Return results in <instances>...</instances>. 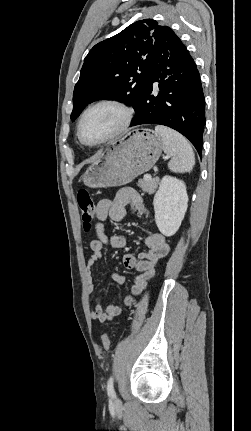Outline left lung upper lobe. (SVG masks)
<instances>
[{
	"mask_svg": "<svg viewBox=\"0 0 251 431\" xmlns=\"http://www.w3.org/2000/svg\"><path fill=\"white\" fill-rule=\"evenodd\" d=\"M174 35L172 29L144 19L96 44L84 59L73 93L74 121L91 102L108 99L141 103L156 50Z\"/></svg>",
	"mask_w": 251,
	"mask_h": 431,
	"instance_id": "5c2ea615",
	"label": "left lung upper lobe"
}]
</instances>
